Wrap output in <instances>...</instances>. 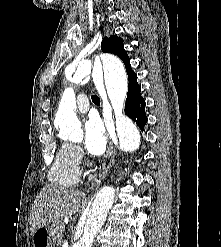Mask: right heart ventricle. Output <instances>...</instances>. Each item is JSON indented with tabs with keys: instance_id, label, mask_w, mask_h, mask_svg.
Listing matches in <instances>:
<instances>
[{
	"instance_id": "obj_1",
	"label": "right heart ventricle",
	"mask_w": 221,
	"mask_h": 247,
	"mask_svg": "<svg viewBox=\"0 0 221 247\" xmlns=\"http://www.w3.org/2000/svg\"><path fill=\"white\" fill-rule=\"evenodd\" d=\"M49 180L58 185H74L80 178V167L74 146L63 143L58 149L48 173Z\"/></svg>"
}]
</instances>
